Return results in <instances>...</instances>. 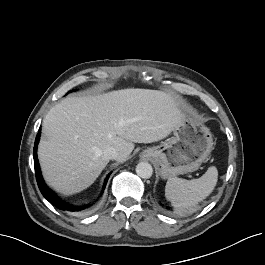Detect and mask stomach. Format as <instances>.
<instances>
[{
    "label": "stomach",
    "mask_w": 265,
    "mask_h": 265,
    "mask_svg": "<svg viewBox=\"0 0 265 265\" xmlns=\"http://www.w3.org/2000/svg\"><path fill=\"white\" fill-rule=\"evenodd\" d=\"M210 129L192 115L173 130L162 145L144 150L142 157L151 159L163 179L196 171L213 150Z\"/></svg>",
    "instance_id": "stomach-1"
}]
</instances>
